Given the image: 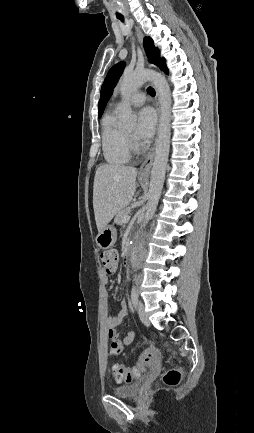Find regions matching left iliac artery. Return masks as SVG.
Masks as SVG:
<instances>
[{"mask_svg": "<svg viewBox=\"0 0 254 433\" xmlns=\"http://www.w3.org/2000/svg\"><path fill=\"white\" fill-rule=\"evenodd\" d=\"M131 300L133 305L136 307L137 303H138V295L137 292L135 290V286H133L132 291H131Z\"/></svg>", "mask_w": 254, "mask_h": 433, "instance_id": "1", "label": "left iliac artery"}]
</instances>
